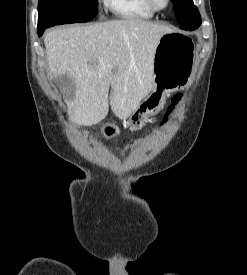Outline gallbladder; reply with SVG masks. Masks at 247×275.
<instances>
[{
    "instance_id": "bac80fb5",
    "label": "gallbladder",
    "mask_w": 247,
    "mask_h": 275,
    "mask_svg": "<svg viewBox=\"0 0 247 275\" xmlns=\"http://www.w3.org/2000/svg\"><path fill=\"white\" fill-rule=\"evenodd\" d=\"M54 83L61 90H73L74 88L72 79L68 75H58L54 78Z\"/></svg>"
}]
</instances>
